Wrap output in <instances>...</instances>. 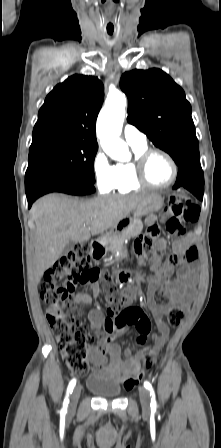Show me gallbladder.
<instances>
[{"mask_svg": "<svg viewBox=\"0 0 221 448\" xmlns=\"http://www.w3.org/2000/svg\"><path fill=\"white\" fill-rule=\"evenodd\" d=\"M74 243L75 242H73V241H69L62 251V255H67L69 253V251H71L73 249Z\"/></svg>", "mask_w": 221, "mask_h": 448, "instance_id": "bac80fb5", "label": "gallbladder"}]
</instances>
